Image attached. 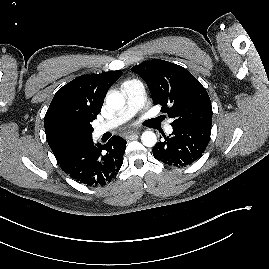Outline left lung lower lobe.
<instances>
[{
	"label": "left lung lower lobe",
	"instance_id": "left-lung-lower-lobe-1",
	"mask_svg": "<svg viewBox=\"0 0 269 269\" xmlns=\"http://www.w3.org/2000/svg\"><path fill=\"white\" fill-rule=\"evenodd\" d=\"M211 127L194 126L173 128L170 136H164L153 148V155L169 166L191 165L204 153L210 140Z\"/></svg>",
	"mask_w": 269,
	"mask_h": 269
}]
</instances>
